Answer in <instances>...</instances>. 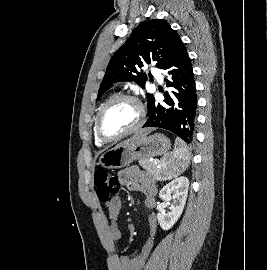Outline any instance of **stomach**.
<instances>
[{
  "mask_svg": "<svg viewBox=\"0 0 267 270\" xmlns=\"http://www.w3.org/2000/svg\"><path fill=\"white\" fill-rule=\"evenodd\" d=\"M169 139L161 133L147 135L140 140L128 145H116L104 152L99 159V164L104 168H123L134 160L149 159L165 155L170 149Z\"/></svg>",
  "mask_w": 267,
  "mask_h": 270,
  "instance_id": "1",
  "label": "stomach"
}]
</instances>
